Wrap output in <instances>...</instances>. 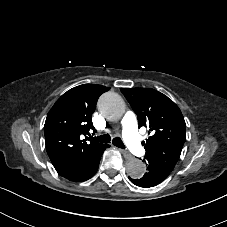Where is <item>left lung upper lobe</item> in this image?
Wrapping results in <instances>:
<instances>
[{
  "mask_svg": "<svg viewBox=\"0 0 227 227\" xmlns=\"http://www.w3.org/2000/svg\"><path fill=\"white\" fill-rule=\"evenodd\" d=\"M137 114L139 127L149 129L151 136L142 143L147 161H153L172 171L186 140V124L178 106L154 89L121 88Z\"/></svg>",
  "mask_w": 227,
  "mask_h": 227,
  "instance_id": "5c2ea615",
  "label": "left lung upper lobe"
}]
</instances>
